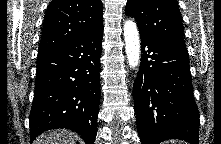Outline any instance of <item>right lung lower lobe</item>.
Segmentation results:
<instances>
[{"label":"right lung lower lobe","instance_id":"right-lung-lower-lobe-1","mask_svg":"<svg viewBox=\"0 0 221 144\" xmlns=\"http://www.w3.org/2000/svg\"><path fill=\"white\" fill-rule=\"evenodd\" d=\"M103 28L55 51L38 56L29 116L30 139L50 129L76 131L93 144L100 99Z\"/></svg>","mask_w":221,"mask_h":144}]
</instances>
